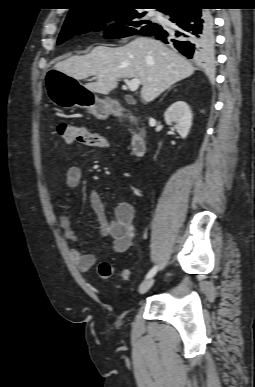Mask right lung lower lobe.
Listing matches in <instances>:
<instances>
[{
    "mask_svg": "<svg viewBox=\"0 0 255 387\" xmlns=\"http://www.w3.org/2000/svg\"><path fill=\"white\" fill-rule=\"evenodd\" d=\"M199 0L182 2L163 10L170 15L171 27L146 28L141 34L170 44L180 53L199 63H208L214 52L213 18Z\"/></svg>",
    "mask_w": 255,
    "mask_h": 387,
    "instance_id": "98d812e1",
    "label": "right lung lower lobe"
}]
</instances>
